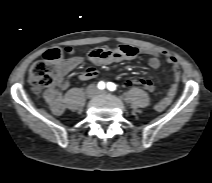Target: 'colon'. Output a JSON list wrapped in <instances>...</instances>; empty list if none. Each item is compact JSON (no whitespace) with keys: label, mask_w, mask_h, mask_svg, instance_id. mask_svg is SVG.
<instances>
[{"label":"colon","mask_w":212,"mask_h":183,"mask_svg":"<svg viewBox=\"0 0 212 183\" xmlns=\"http://www.w3.org/2000/svg\"><path fill=\"white\" fill-rule=\"evenodd\" d=\"M74 53L70 47L52 48L44 54V59L35 62L29 71V82L35 93L42 88L51 86L54 83L55 69L57 64L64 59L65 55ZM149 79L136 78L126 82L127 87H136L149 91L152 87Z\"/></svg>","instance_id":"1"}]
</instances>
